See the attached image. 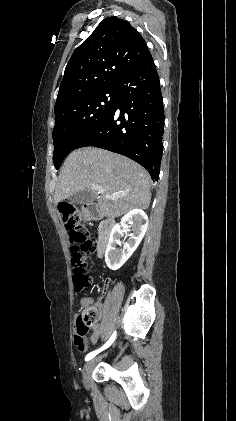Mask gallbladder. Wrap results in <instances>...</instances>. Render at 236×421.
<instances>
[{"mask_svg":"<svg viewBox=\"0 0 236 421\" xmlns=\"http://www.w3.org/2000/svg\"><path fill=\"white\" fill-rule=\"evenodd\" d=\"M69 202H75V204H83V202H88L90 200V196L87 190H78L72 196H68Z\"/></svg>","mask_w":236,"mask_h":421,"instance_id":"bac80fb5","label":"gallbladder"}]
</instances>
